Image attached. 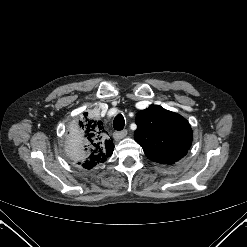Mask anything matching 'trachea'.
Wrapping results in <instances>:
<instances>
[{
	"mask_svg": "<svg viewBox=\"0 0 247 247\" xmlns=\"http://www.w3.org/2000/svg\"><path fill=\"white\" fill-rule=\"evenodd\" d=\"M125 126V120H124V117L121 115V114H118L114 121H113V127L115 130H122Z\"/></svg>",
	"mask_w": 247,
	"mask_h": 247,
	"instance_id": "trachea-1",
	"label": "trachea"
}]
</instances>
